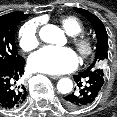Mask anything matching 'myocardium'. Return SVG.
Wrapping results in <instances>:
<instances>
[{
  "label": "myocardium",
  "mask_w": 117,
  "mask_h": 117,
  "mask_svg": "<svg viewBox=\"0 0 117 117\" xmlns=\"http://www.w3.org/2000/svg\"><path fill=\"white\" fill-rule=\"evenodd\" d=\"M71 40L82 58L86 59L93 55L95 46L90 38L83 35H74Z\"/></svg>",
  "instance_id": "1"
}]
</instances>
